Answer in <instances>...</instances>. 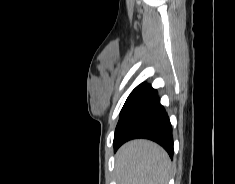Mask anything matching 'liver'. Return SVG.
Wrapping results in <instances>:
<instances>
[{
	"label": "liver",
	"instance_id": "liver-1",
	"mask_svg": "<svg viewBox=\"0 0 235 184\" xmlns=\"http://www.w3.org/2000/svg\"><path fill=\"white\" fill-rule=\"evenodd\" d=\"M115 168L118 184H169L173 174L167 152L150 140H131L121 146Z\"/></svg>",
	"mask_w": 235,
	"mask_h": 184
}]
</instances>
